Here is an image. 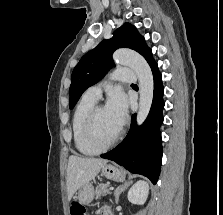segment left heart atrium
Instances as JSON below:
<instances>
[{
  "label": "left heart atrium",
  "mask_w": 223,
  "mask_h": 215,
  "mask_svg": "<svg viewBox=\"0 0 223 215\" xmlns=\"http://www.w3.org/2000/svg\"><path fill=\"white\" fill-rule=\"evenodd\" d=\"M105 110L119 127L122 126L127 117V100L124 94L119 90L114 91L106 103Z\"/></svg>",
  "instance_id": "left-heart-atrium-1"
}]
</instances>
